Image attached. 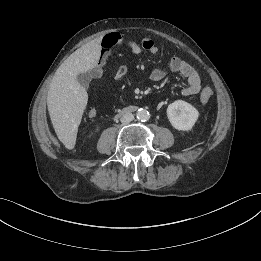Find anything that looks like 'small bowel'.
<instances>
[{"label": "small bowel", "instance_id": "obj_1", "mask_svg": "<svg viewBox=\"0 0 261 261\" xmlns=\"http://www.w3.org/2000/svg\"><path fill=\"white\" fill-rule=\"evenodd\" d=\"M122 46L124 47L126 53L140 55L142 53H148L150 55H155L158 52V47L153 39L150 37H143L140 42H135L133 40H129L119 33H110L103 37L101 41V60L99 64L94 68L93 75L94 77H100L103 72V65L105 60L110 56L113 49ZM168 69L171 72L178 73L186 79V86L182 90V94L184 96H193L200 92L201 89V80L197 71L186 61L181 58L174 56L169 60ZM128 71V64H121L114 76L116 81H121ZM166 75V70L163 68L154 69L150 78L153 81H160ZM89 117H94L96 115V111L91 109L88 113Z\"/></svg>", "mask_w": 261, "mask_h": 261}]
</instances>
